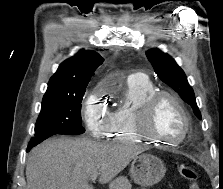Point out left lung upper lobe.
<instances>
[{
    "instance_id": "obj_1",
    "label": "left lung upper lobe",
    "mask_w": 223,
    "mask_h": 189,
    "mask_svg": "<svg viewBox=\"0 0 223 189\" xmlns=\"http://www.w3.org/2000/svg\"><path fill=\"white\" fill-rule=\"evenodd\" d=\"M146 56L158 77L174 89L192 107L195 115L201 119L193 89L189 85L185 73L175 60L159 49L147 51Z\"/></svg>"
}]
</instances>
